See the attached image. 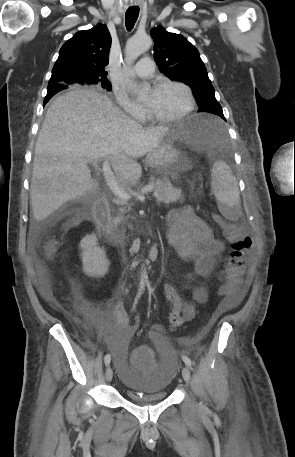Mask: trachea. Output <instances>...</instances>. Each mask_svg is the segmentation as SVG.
I'll return each instance as SVG.
<instances>
[{
    "instance_id": "1",
    "label": "trachea",
    "mask_w": 295,
    "mask_h": 457,
    "mask_svg": "<svg viewBox=\"0 0 295 457\" xmlns=\"http://www.w3.org/2000/svg\"><path fill=\"white\" fill-rule=\"evenodd\" d=\"M139 10L134 7H130L125 14V25L128 31H131L138 19Z\"/></svg>"
}]
</instances>
